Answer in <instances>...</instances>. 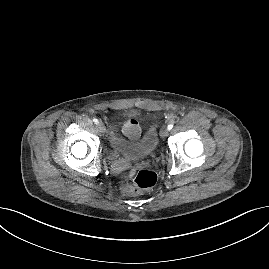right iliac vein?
Wrapping results in <instances>:
<instances>
[{
  "label": "right iliac vein",
  "mask_w": 269,
  "mask_h": 269,
  "mask_svg": "<svg viewBox=\"0 0 269 269\" xmlns=\"http://www.w3.org/2000/svg\"><path fill=\"white\" fill-rule=\"evenodd\" d=\"M97 128H98V130L101 132V133H104L105 132V126H104V124L102 123V122H99L98 124H97Z\"/></svg>",
  "instance_id": "right-iliac-vein-1"
}]
</instances>
